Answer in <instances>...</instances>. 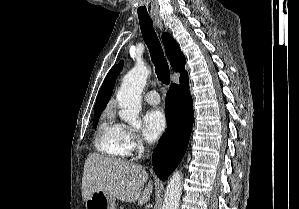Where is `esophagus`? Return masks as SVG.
Returning a JSON list of instances; mask_svg holds the SVG:
<instances>
[{
  "label": "esophagus",
  "mask_w": 299,
  "mask_h": 209,
  "mask_svg": "<svg viewBox=\"0 0 299 209\" xmlns=\"http://www.w3.org/2000/svg\"><path fill=\"white\" fill-rule=\"evenodd\" d=\"M154 22L157 25V27H159L160 29L163 28V24H162L161 20L158 17H154Z\"/></svg>",
  "instance_id": "esophagus-1"
}]
</instances>
